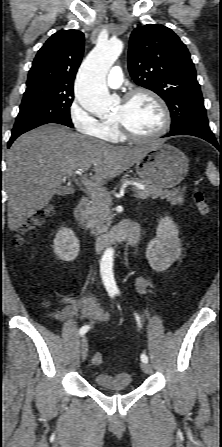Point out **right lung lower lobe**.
Listing matches in <instances>:
<instances>
[{"instance_id": "right-lung-lower-lobe-1", "label": "right lung lower lobe", "mask_w": 222, "mask_h": 447, "mask_svg": "<svg viewBox=\"0 0 222 447\" xmlns=\"http://www.w3.org/2000/svg\"><path fill=\"white\" fill-rule=\"evenodd\" d=\"M59 124L66 125V126H68V127H73V125L70 124V123L59 122ZM18 136H19V135H12V136H11V138H10V140H9V142H8V148L10 147V145L12 144V142H13Z\"/></svg>"}]
</instances>
